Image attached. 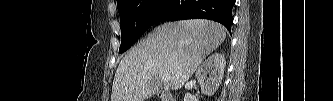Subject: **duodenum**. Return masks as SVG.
Instances as JSON below:
<instances>
[{
    "mask_svg": "<svg viewBox=\"0 0 333 101\" xmlns=\"http://www.w3.org/2000/svg\"><path fill=\"white\" fill-rule=\"evenodd\" d=\"M159 97L162 101H174L168 91H162L159 93Z\"/></svg>",
    "mask_w": 333,
    "mask_h": 101,
    "instance_id": "obj_1",
    "label": "duodenum"
}]
</instances>
